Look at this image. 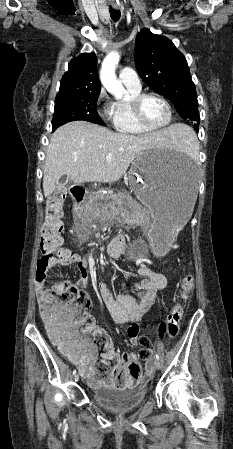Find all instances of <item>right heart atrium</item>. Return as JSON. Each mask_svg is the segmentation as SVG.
I'll return each mask as SVG.
<instances>
[{
  "instance_id": "1",
  "label": "right heart atrium",
  "mask_w": 233,
  "mask_h": 449,
  "mask_svg": "<svg viewBox=\"0 0 233 449\" xmlns=\"http://www.w3.org/2000/svg\"><path fill=\"white\" fill-rule=\"evenodd\" d=\"M105 96H106L105 90H104V89H101V90H100V93H99V97H100V98H104Z\"/></svg>"
}]
</instances>
